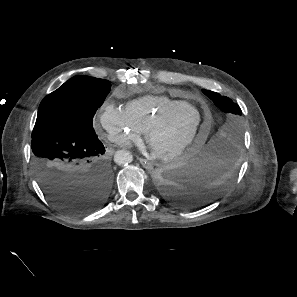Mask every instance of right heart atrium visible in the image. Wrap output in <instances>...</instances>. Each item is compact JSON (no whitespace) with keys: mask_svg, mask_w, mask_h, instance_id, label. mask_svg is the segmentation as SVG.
<instances>
[{"mask_svg":"<svg viewBox=\"0 0 297 297\" xmlns=\"http://www.w3.org/2000/svg\"><path fill=\"white\" fill-rule=\"evenodd\" d=\"M98 122L105 138L119 146H130L141 138L142 132L132 122L126 111L112 103H105L101 107Z\"/></svg>","mask_w":297,"mask_h":297,"instance_id":"right-heart-atrium-1","label":"right heart atrium"}]
</instances>
